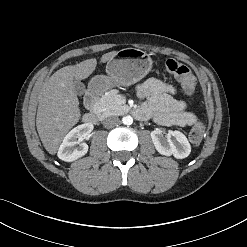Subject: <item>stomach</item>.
Here are the masks:
<instances>
[{"mask_svg":"<svg viewBox=\"0 0 247 247\" xmlns=\"http://www.w3.org/2000/svg\"><path fill=\"white\" fill-rule=\"evenodd\" d=\"M152 68V60L140 49L126 48L117 52L106 65L105 75L90 81L92 91H106L115 85L130 86L140 81Z\"/></svg>","mask_w":247,"mask_h":247,"instance_id":"stomach-1","label":"stomach"}]
</instances>
